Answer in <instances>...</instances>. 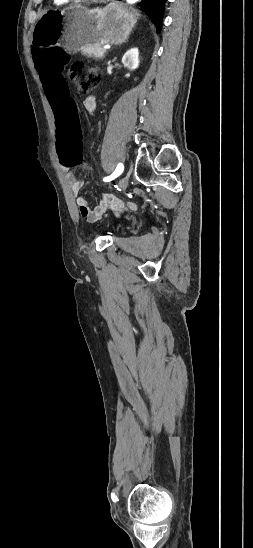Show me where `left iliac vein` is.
I'll use <instances>...</instances> for the list:
<instances>
[{
    "label": "left iliac vein",
    "mask_w": 253,
    "mask_h": 548,
    "mask_svg": "<svg viewBox=\"0 0 253 548\" xmlns=\"http://www.w3.org/2000/svg\"><path fill=\"white\" fill-rule=\"evenodd\" d=\"M128 186V177H122L118 182V188L120 191L125 190Z\"/></svg>",
    "instance_id": "obj_1"
}]
</instances>
